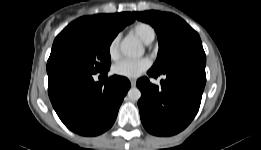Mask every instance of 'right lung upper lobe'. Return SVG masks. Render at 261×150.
Returning a JSON list of instances; mask_svg holds the SVG:
<instances>
[{
  "instance_id": "cb5924a9",
  "label": "right lung upper lobe",
  "mask_w": 261,
  "mask_h": 150,
  "mask_svg": "<svg viewBox=\"0 0 261 150\" xmlns=\"http://www.w3.org/2000/svg\"><path fill=\"white\" fill-rule=\"evenodd\" d=\"M88 17L112 21L125 25H128L135 20L133 14L130 12L115 13V14H98V15L88 16Z\"/></svg>"
}]
</instances>
